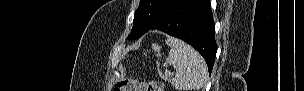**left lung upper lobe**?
Masks as SVG:
<instances>
[{
	"instance_id": "1",
	"label": "left lung upper lobe",
	"mask_w": 304,
	"mask_h": 91,
	"mask_svg": "<svg viewBox=\"0 0 304 91\" xmlns=\"http://www.w3.org/2000/svg\"><path fill=\"white\" fill-rule=\"evenodd\" d=\"M173 0H140L134 14L133 27L127 39L132 40L142 36L165 13Z\"/></svg>"
}]
</instances>
